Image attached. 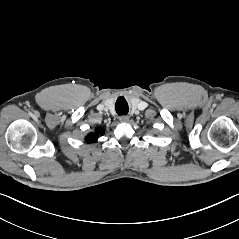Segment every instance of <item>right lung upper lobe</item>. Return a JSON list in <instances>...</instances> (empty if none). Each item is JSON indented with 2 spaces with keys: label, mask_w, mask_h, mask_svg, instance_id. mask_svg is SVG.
Masks as SVG:
<instances>
[{
  "label": "right lung upper lobe",
  "mask_w": 239,
  "mask_h": 239,
  "mask_svg": "<svg viewBox=\"0 0 239 239\" xmlns=\"http://www.w3.org/2000/svg\"><path fill=\"white\" fill-rule=\"evenodd\" d=\"M99 134L103 135V131H100L99 129H97L94 133L88 134L86 137V140L88 142H95L97 141Z\"/></svg>",
  "instance_id": "cb5924a9"
}]
</instances>
